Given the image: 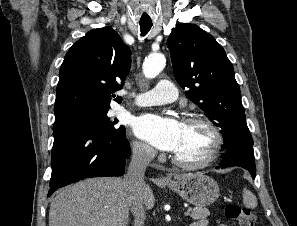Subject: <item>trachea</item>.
<instances>
[{"label": "trachea", "mask_w": 297, "mask_h": 226, "mask_svg": "<svg viewBox=\"0 0 297 226\" xmlns=\"http://www.w3.org/2000/svg\"><path fill=\"white\" fill-rule=\"evenodd\" d=\"M152 22H140L141 35L145 36L151 29Z\"/></svg>", "instance_id": "3493384b"}]
</instances>
